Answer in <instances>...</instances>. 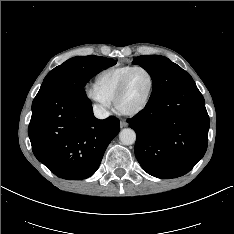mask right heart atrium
I'll use <instances>...</instances> for the list:
<instances>
[{
  "label": "right heart atrium",
  "mask_w": 234,
  "mask_h": 234,
  "mask_svg": "<svg viewBox=\"0 0 234 234\" xmlns=\"http://www.w3.org/2000/svg\"><path fill=\"white\" fill-rule=\"evenodd\" d=\"M86 96L95 102L102 109H108L111 106V100L108 99L96 85H91L85 90Z\"/></svg>",
  "instance_id": "1"
}]
</instances>
